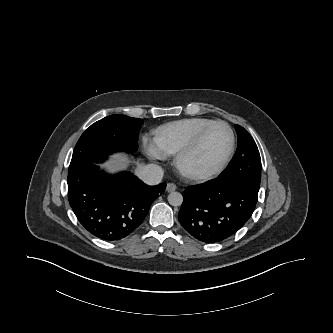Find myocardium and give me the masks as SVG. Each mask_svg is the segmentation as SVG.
I'll list each match as a JSON object with an SVG mask.
<instances>
[{
	"label": "myocardium",
	"mask_w": 333,
	"mask_h": 333,
	"mask_svg": "<svg viewBox=\"0 0 333 333\" xmlns=\"http://www.w3.org/2000/svg\"><path fill=\"white\" fill-rule=\"evenodd\" d=\"M216 125H222L224 126L230 135V146L228 149L227 154L225 155L224 159L221 161V163L213 170L208 172H196L188 168L186 165V161L188 158L199 148L201 142L203 141L206 134L210 131V129ZM235 134L231 126L222 120L213 121L212 123L208 124L206 127H204L196 136L195 138L184 148L182 149L175 157V166L179 170V172L191 179L196 181H207L215 178L219 174H221L224 169L229 164L235 150Z\"/></svg>",
	"instance_id": "obj_1"
}]
</instances>
